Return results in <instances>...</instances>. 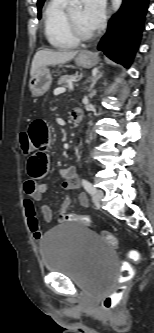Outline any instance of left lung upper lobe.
I'll return each mask as SVG.
<instances>
[{"label":"left lung upper lobe","instance_id":"5c2ea615","mask_svg":"<svg viewBox=\"0 0 154 333\" xmlns=\"http://www.w3.org/2000/svg\"><path fill=\"white\" fill-rule=\"evenodd\" d=\"M44 1L45 0H38V2H37V6H38V15L40 16L41 14H40V10H41V8H42V6H43V4H44Z\"/></svg>","mask_w":154,"mask_h":333}]
</instances>
